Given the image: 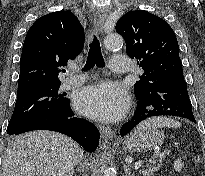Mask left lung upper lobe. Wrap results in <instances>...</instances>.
I'll use <instances>...</instances> for the list:
<instances>
[{
  "label": "left lung upper lobe",
  "mask_w": 205,
  "mask_h": 176,
  "mask_svg": "<svg viewBox=\"0 0 205 176\" xmlns=\"http://www.w3.org/2000/svg\"><path fill=\"white\" fill-rule=\"evenodd\" d=\"M126 42V52L144 70L134 85L137 97L152 91L162 82L184 81L179 46L172 28L148 11L127 12L116 24Z\"/></svg>",
  "instance_id": "5c2ea615"
}]
</instances>
